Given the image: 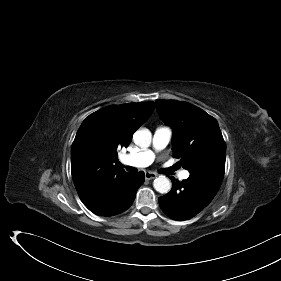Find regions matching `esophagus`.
Here are the masks:
<instances>
[{
	"label": "esophagus",
	"mask_w": 281,
	"mask_h": 281,
	"mask_svg": "<svg viewBox=\"0 0 281 281\" xmlns=\"http://www.w3.org/2000/svg\"><path fill=\"white\" fill-rule=\"evenodd\" d=\"M158 175L156 173H153V172H146L145 173V179L147 180H151V179H154L156 178Z\"/></svg>",
	"instance_id": "obj_1"
}]
</instances>
